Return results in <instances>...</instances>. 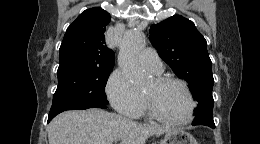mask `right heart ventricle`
Segmentation results:
<instances>
[{"mask_svg":"<svg viewBox=\"0 0 260 144\" xmlns=\"http://www.w3.org/2000/svg\"><path fill=\"white\" fill-rule=\"evenodd\" d=\"M143 111H144V104H142V106H141V108H140V111H139L136 115H134V116H139V115H141V114L143 113Z\"/></svg>","mask_w":260,"mask_h":144,"instance_id":"e07e8e85","label":"right heart ventricle"}]
</instances>
